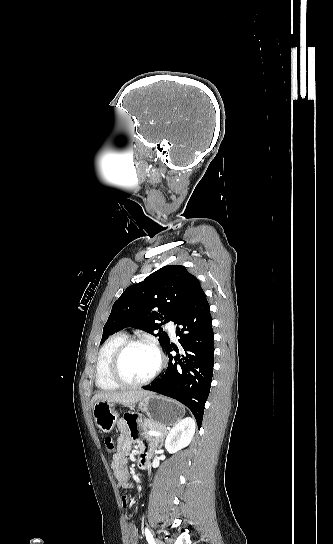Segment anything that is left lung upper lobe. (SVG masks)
<instances>
[{"mask_svg":"<svg viewBox=\"0 0 333 544\" xmlns=\"http://www.w3.org/2000/svg\"><path fill=\"white\" fill-rule=\"evenodd\" d=\"M203 293L199 280L184 266H164L144 281L128 287L113 304L101 343L120 329L134 327L159 337L165 348L170 339L161 326L169 321L176 323ZM156 330L159 332L154 334Z\"/></svg>","mask_w":333,"mask_h":544,"instance_id":"obj_1","label":"left lung upper lobe"}]
</instances>
